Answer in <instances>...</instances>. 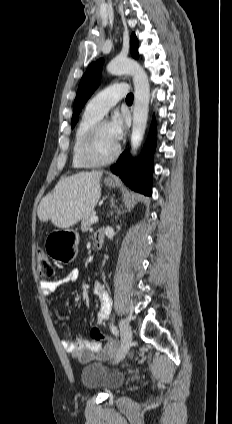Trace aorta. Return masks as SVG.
Returning a JSON list of instances; mask_svg holds the SVG:
<instances>
[{
  "mask_svg": "<svg viewBox=\"0 0 232 424\" xmlns=\"http://www.w3.org/2000/svg\"><path fill=\"white\" fill-rule=\"evenodd\" d=\"M113 75L129 74L134 83V109L131 135V152L137 153L143 140L148 120L150 85L144 69L134 60L116 57L107 65Z\"/></svg>",
  "mask_w": 232,
  "mask_h": 424,
  "instance_id": "762f6f07",
  "label": "aorta"
}]
</instances>
